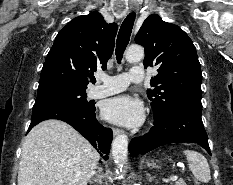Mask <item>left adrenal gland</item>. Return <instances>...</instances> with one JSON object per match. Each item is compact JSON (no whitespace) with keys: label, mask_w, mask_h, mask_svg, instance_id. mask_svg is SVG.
Instances as JSON below:
<instances>
[{"label":"left adrenal gland","mask_w":233,"mask_h":185,"mask_svg":"<svg viewBox=\"0 0 233 185\" xmlns=\"http://www.w3.org/2000/svg\"><path fill=\"white\" fill-rule=\"evenodd\" d=\"M146 175L148 177L149 182H151L153 180V177L149 173H146Z\"/></svg>","instance_id":"a2214340"}]
</instances>
